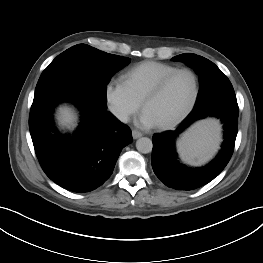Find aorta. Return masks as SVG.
I'll list each match as a JSON object with an SVG mask.
<instances>
[{"label": "aorta", "mask_w": 263, "mask_h": 263, "mask_svg": "<svg viewBox=\"0 0 263 263\" xmlns=\"http://www.w3.org/2000/svg\"><path fill=\"white\" fill-rule=\"evenodd\" d=\"M136 148L140 153L147 154L152 151L153 143L151 139L142 137L136 141Z\"/></svg>", "instance_id": "1"}]
</instances>
